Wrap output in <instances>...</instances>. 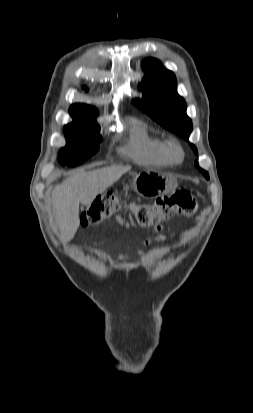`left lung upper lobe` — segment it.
<instances>
[{"instance_id": "1", "label": "left lung upper lobe", "mask_w": 253, "mask_h": 413, "mask_svg": "<svg viewBox=\"0 0 253 413\" xmlns=\"http://www.w3.org/2000/svg\"><path fill=\"white\" fill-rule=\"evenodd\" d=\"M143 68L146 75L139 85L143 97L133 103L161 126L188 141L193 129L192 121L186 114L184 99L177 93L174 73L163 68L156 59H145ZM190 146L198 154L196 147L191 143ZM195 165L209 179L208 173L199 167L197 161Z\"/></svg>"}]
</instances>
